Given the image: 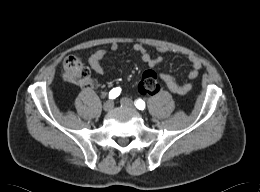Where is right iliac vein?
Returning <instances> with one entry per match:
<instances>
[{
	"instance_id": "right-iliac-vein-1",
	"label": "right iliac vein",
	"mask_w": 260,
	"mask_h": 192,
	"mask_svg": "<svg viewBox=\"0 0 260 192\" xmlns=\"http://www.w3.org/2000/svg\"><path fill=\"white\" fill-rule=\"evenodd\" d=\"M113 107H114V103H113V101H107L105 104H104V106H103V108H104V110L105 111H111L112 109H113Z\"/></svg>"
}]
</instances>
